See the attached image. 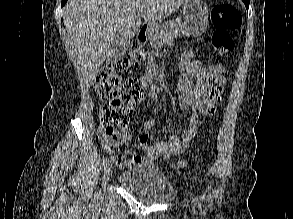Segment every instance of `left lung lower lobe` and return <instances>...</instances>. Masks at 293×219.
<instances>
[{
    "label": "left lung lower lobe",
    "mask_w": 293,
    "mask_h": 219,
    "mask_svg": "<svg viewBox=\"0 0 293 219\" xmlns=\"http://www.w3.org/2000/svg\"><path fill=\"white\" fill-rule=\"evenodd\" d=\"M246 6V9L248 10L249 8V0H242Z\"/></svg>",
    "instance_id": "1"
}]
</instances>
